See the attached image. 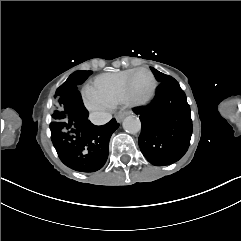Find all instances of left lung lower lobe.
<instances>
[{
	"label": "left lung lower lobe",
	"mask_w": 241,
	"mask_h": 241,
	"mask_svg": "<svg viewBox=\"0 0 241 241\" xmlns=\"http://www.w3.org/2000/svg\"><path fill=\"white\" fill-rule=\"evenodd\" d=\"M134 111L142 124L139 147L151 164L169 165L186 153L192 134L190 107L174 78L160 83L149 106Z\"/></svg>",
	"instance_id": "1"
}]
</instances>
